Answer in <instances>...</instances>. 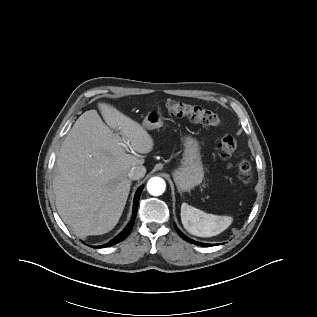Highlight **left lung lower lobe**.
<instances>
[{
	"label": "left lung lower lobe",
	"mask_w": 317,
	"mask_h": 317,
	"mask_svg": "<svg viewBox=\"0 0 317 317\" xmlns=\"http://www.w3.org/2000/svg\"><path fill=\"white\" fill-rule=\"evenodd\" d=\"M175 229L181 238H183L184 240H186L192 244L199 245V246H214L215 245V244L212 245V244H204V243L196 242V241L188 238L187 236H185L176 226H175Z\"/></svg>",
	"instance_id": "1"
}]
</instances>
